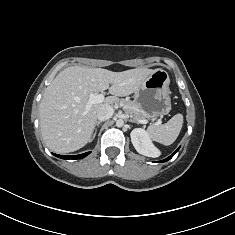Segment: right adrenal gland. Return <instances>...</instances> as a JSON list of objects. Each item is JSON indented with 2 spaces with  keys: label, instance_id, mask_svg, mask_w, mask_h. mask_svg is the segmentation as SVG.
<instances>
[{
  "label": "right adrenal gland",
  "instance_id": "right-adrenal-gland-1",
  "mask_svg": "<svg viewBox=\"0 0 235 235\" xmlns=\"http://www.w3.org/2000/svg\"><path fill=\"white\" fill-rule=\"evenodd\" d=\"M101 123H102V121H98V122L96 123L95 132H94V134H93V137H92L91 141L95 138V136H96V134H97L98 126H99Z\"/></svg>",
  "mask_w": 235,
  "mask_h": 235
}]
</instances>
